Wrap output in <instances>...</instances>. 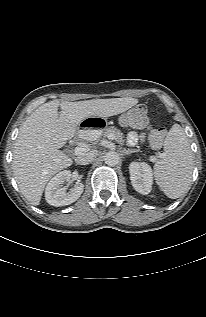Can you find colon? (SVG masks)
<instances>
[{
  "label": "colon",
  "mask_w": 206,
  "mask_h": 317,
  "mask_svg": "<svg viewBox=\"0 0 206 317\" xmlns=\"http://www.w3.org/2000/svg\"><path fill=\"white\" fill-rule=\"evenodd\" d=\"M121 125L125 127L143 128L148 123L147 108L144 105H137L120 117ZM166 134L164 128H158L151 132L150 142L152 146L159 147L162 144L163 138Z\"/></svg>",
  "instance_id": "colon-1"
}]
</instances>
